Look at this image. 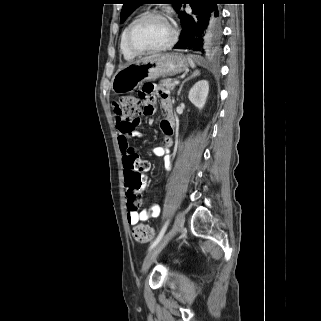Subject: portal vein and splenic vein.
Instances as JSON below:
<instances>
[{"label": "portal vein and splenic vein", "mask_w": 321, "mask_h": 321, "mask_svg": "<svg viewBox=\"0 0 321 321\" xmlns=\"http://www.w3.org/2000/svg\"><path fill=\"white\" fill-rule=\"evenodd\" d=\"M180 82L178 80L174 81L175 85H178Z\"/></svg>", "instance_id": "18ae733b"}]
</instances>
